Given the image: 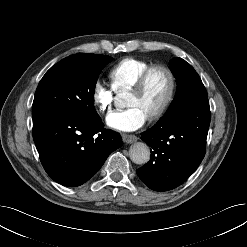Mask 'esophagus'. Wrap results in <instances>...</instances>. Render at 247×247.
Segmentation results:
<instances>
[{
  "label": "esophagus",
  "mask_w": 247,
  "mask_h": 247,
  "mask_svg": "<svg viewBox=\"0 0 247 247\" xmlns=\"http://www.w3.org/2000/svg\"><path fill=\"white\" fill-rule=\"evenodd\" d=\"M122 139L125 143H133L137 141V136L132 134H122Z\"/></svg>",
  "instance_id": "obj_1"
}]
</instances>
